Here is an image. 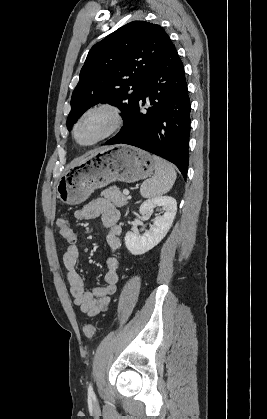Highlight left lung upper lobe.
I'll return each instance as SVG.
<instances>
[{"mask_svg": "<svg viewBox=\"0 0 267 419\" xmlns=\"http://www.w3.org/2000/svg\"><path fill=\"white\" fill-rule=\"evenodd\" d=\"M170 43L159 25L133 21L95 44L72 94L68 130L87 109L98 103L118 107L125 122L145 91V80L160 63Z\"/></svg>", "mask_w": 267, "mask_h": 419, "instance_id": "obj_1", "label": "left lung upper lobe"}]
</instances>
